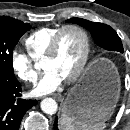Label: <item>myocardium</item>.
<instances>
[{"label":"myocardium","mask_w":130,"mask_h":130,"mask_svg":"<svg viewBox=\"0 0 130 130\" xmlns=\"http://www.w3.org/2000/svg\"><path fill=\"white\" fill-rule=\"evenodd\" d=\"M68 30H74V31L78 32L81 35V37L83 38V42H84L83 55H82V58H81V61L78 65V67L70 76H68L65 79V81H67V82H74L83 74V72L87 66V63H88V60L90 57V51H91L90 36H89L88 32L82 26H80L78 24H68V25L61 27L59 29V31L52 38L49 48L47 50V53L44 56V59L46 60V59H51V58L55 57V55L58 52L60 40H61L63 34Z\"/></svg>","instance_id":"obj_1"}]
</instances>
